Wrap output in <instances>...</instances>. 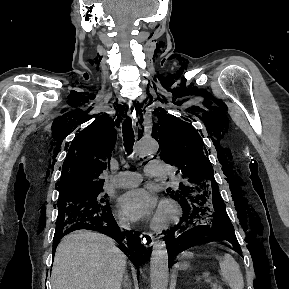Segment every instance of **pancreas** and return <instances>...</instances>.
Listing matches in <instances>:
<instances>
[{
	"mask_svg": "<svg viewBox=\"0 0 289 289\" xmlns=\"http://www.w3.org/2000/svg\"><path fill=\"white\" fill-rule=\"evenodd\" d=\"M211 289H222V287L220 285H218L217 283H212Z\"/></svg>",
	"mask_w": 289,
	"mask_h": 289,
	"instance_id": "cf45deb5",
	"label": "pancreas"
}]
</instances>
